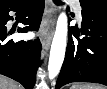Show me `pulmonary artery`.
<instances>
[{
    "mask_svg": "<svg viewBox=\"0 0 107 89\" xmlns=\"http://www.w3.org/2000/svg\"><path fill=\"white\" fill-rule=\"evenodd\" d=\"M72 4L74 6L77 18L79 20H81L82 19V16H81V6H80L79 1L78 0H72Z\"/></svg>",
    "mask_w": 107,
    "mask_h": 89,
    "instance_id": "pulmonary-artery-1",
    "label": "pulmonary artery"
}]
</instances>
